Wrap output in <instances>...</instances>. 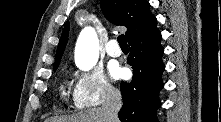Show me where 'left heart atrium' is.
Returning a JSON list of instances; mask_svg holds the SVG:
<instances>
[{
	"label": "left heart atrium",
	"mask_w": 221,
	"mask_h": 122,
	"mask_svg": "<svg viewBox=\"0 0 221 122\" xmlns=\"http://www.w3.org/2000/svg\"><path fill=\"white\" fill-rule=\"evenodd\" d=\"M109 73L113 79H118L123 75V69L117 65H111L109 67Z\"/></svg>",
	"instance_id": "39dd6f15"
}]
</instances>
